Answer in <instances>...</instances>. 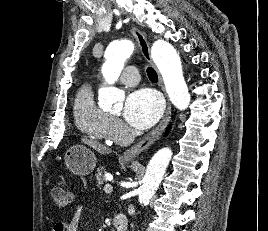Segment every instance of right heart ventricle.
<instances>
[{
	"mask_svg": "<svg viewBox=\"0 0 268 231\" xmlns=\"http://www.w3.org/2000/svg\"><path fill=\"white\" fill-rule=\"evenodd\" d=\"M73 115L77 128L87 137L100 142L111 141L112 117L96 104L90 84L78 90Z\"/></svg>",
	"mask_w": 268,
	"mask_h": 231,
	"instance_id": "e07e8e85",
	"label": "right heart ventricle"
}]
</instances>
